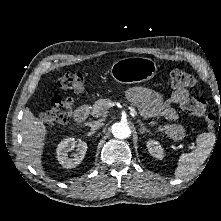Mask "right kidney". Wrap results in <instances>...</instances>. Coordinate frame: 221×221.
I'll use <instances>...</instances> for the list:
<instances>
[{
    "label": "right kidney",
    "mask_w": 221,
    "mask_h": 221,
    "mask_svg": "<svg viewBox=\"0 0 221 221\" xmlns=\"http://www.w3.org/2000/svg\"><path fill=\"white\" fill-rule=\"evenodd\" d=\"M76 148L75 153L68 157V153ZM87 143L76 141L75 138L63 139L57 146V160L64 168H74L84 159Z\"/></svg>",
    "instance_id": "ca27d5eb"
}]
</instances>
